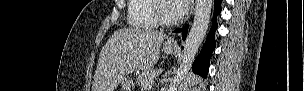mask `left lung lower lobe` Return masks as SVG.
<instances>
[{
  "label": "left lung lower lobe",
  "mask_w": 304,
  "mask_h": 91,
  "mask_svg": "<svg viewBox=\"0 0 304 91\" xmlns=\"http://www.w3.org/2000/svg\"><path fill=\"white\" fill-rule=\"evenodd\" d=\"M221 12V0H215L214 1V16H213V22H212V27L211 30L207 36V40L196 58L194 64H193V71L203 77H207L208 69H209V61L211 58V54L215 49V38L214 34L217 29V20L216 17L217 15ZM187 28L188 25H186L182 29L183 33V39L185 40L186 34H187ZM175 32H180V29H177Z\"/></svg>",
  "instance_id": "0a47b994"
}]
</instances>
